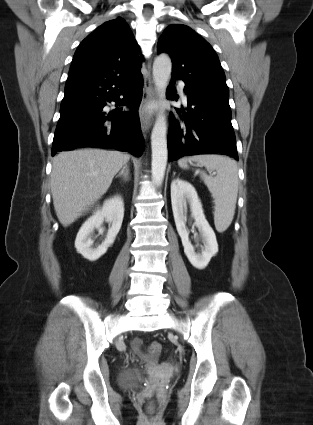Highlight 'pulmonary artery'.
I'll return each mask as SVG.
<instances>
[{"label":"pulmonary artery","mask_w":313,"mask_h":425,"mask_svg":"<svg viewBox=\"0 0 313 425\" xmlns=\"http://www.w3.org/2000/svg\"><path fill=\"white\" fill-rule=\"evenodd\" d=\"M181 94H182V96H183L184 98H186V95H185V93H184V91H183V90L181 91Z\"/></svg>","instance_id":"1"}]
</instances>
